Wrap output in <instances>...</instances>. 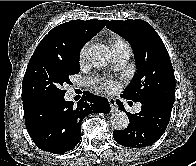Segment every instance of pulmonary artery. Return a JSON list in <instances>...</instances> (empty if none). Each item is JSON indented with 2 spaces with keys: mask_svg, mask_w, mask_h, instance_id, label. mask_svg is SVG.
I'll list each match as a JSON object with an SVG mask.
<instances>
[{
  "mask_svg": "<svg viewBox=\"0 0 196 166\" xmlns=\"http://www.w3.org/2000/svg\"><path fill=\"white\" fill-rule=\"evenodd\" d=\"M130 47L127 43L122 42L112 46L113 65L116 69L123 68L130 57ZM136 111L140 110V104L136 105Z\"/></svg>",
  "mask_w": 196,
  "mask_h": 166,
  "instance_id": "pulmonary-artery-1",
  "label": "pulmonary artery"
}]
</instances>
